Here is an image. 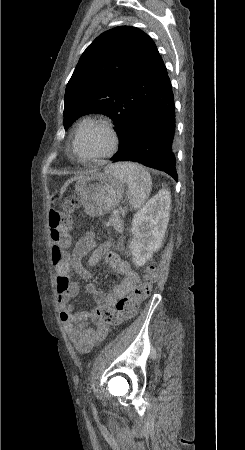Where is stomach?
Wrapping results in <instances>:
<instances>
[{"label": "stomach", "mask_w": 245, "mask_h": 450, "mask_svg": "<svg viewBox=\"0 0 245 450\" xmlns=\"http://www.w3.org/2000/svg\"><path fill=\"white\" fill-rule=\"evenodd\" d=\"M123 183L113 173L111 165L104 172L80 177L75 184V193L85 213L98 217L112 211L120 203L124 195Z\"/></svg>", "instance_id": "0dacf381"}]
</instances>
